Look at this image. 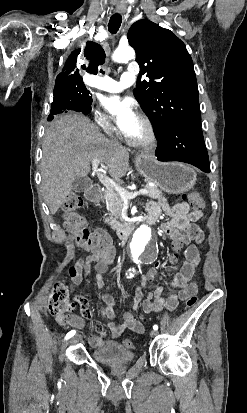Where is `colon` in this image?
I'll list each match as a JSON object with an SVG mask.
<instances>
[{"label": "colon", "instance_id": "5ec220e1", "mask_svg": "<svg viewBox=\"0 0 247 413\" xmlns=\"http://www.w3.org/2000/svg\"><path fill=\"white\" fill-rule=\"evenodd\" d=\"M183 199L188 200L196 211L203 209V201L197 192L184 194ZM82 208L83 201L78 196H69L64 201L61 209L64 228L76 235V243L78 245H84L88 242L89 249L92 252H98L104 261H112L115 258V247L109 244L108 236L105 233L89 229L88 221L80 214ZM174 251L180 252L181 246L175 245ZM196 304L197 298H186L185 305L187 309L195 307ZM73 307H77V304H69L66 288L60 283H55L54 292L48 305L50 314L73 313ZM123 345L127 348L133 347V343L129 339H125Z\"/></svg>", "mask_w": 247, "mask_h": 413}]
</instances>
